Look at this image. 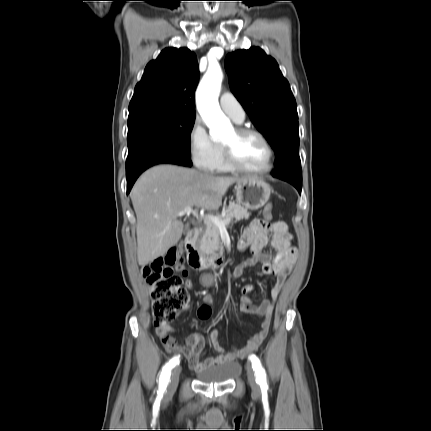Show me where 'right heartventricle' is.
<instances>
[{
	"mask_svg": "<svg viewBox=\"0 0 431 431\" xmlns=\"http://www.w3.org/2000/svg\"><path fill=\"white\" fill-rule=\"evenodd\" d=\"M214 170L217 172H221V173H226V172L232 171V169L229 167V165L226 162L223 147H222L221 156H220Z\"/></svg>",
	"mask_w": 431,
	"mask_h": 431,
	"instance_id": "right-heart-ventricle-1",
	"label": "right heart ventricle"
}]
</instances>
